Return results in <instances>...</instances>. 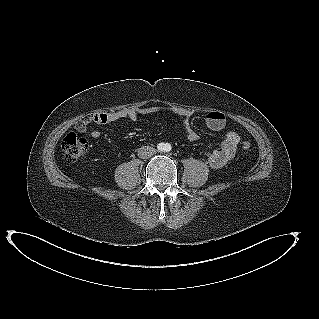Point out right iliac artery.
I'll return each instance as SVG.
<instances>
[{
    "instance_id": "82829eb1",
    "label": "right iliac artery",
    "mask_w": 319,
    "mask_h": 319,
    "mask_svg": "<svg viewBox=\"0 0 319 319\" xmlns=\"http://www.w3.org/2000/svg\"><path fill=\"white\" fill-rule=\"evenodd\" d=\"M162 148V144H158V149H161Z\"/></svg>"
}]
</instances>
